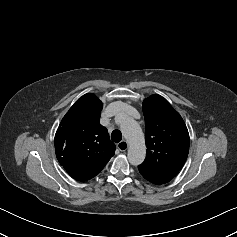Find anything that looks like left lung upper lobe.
<instances>
[{
  "mask_svg": "<svg viewBox=\"0 0 237 237\" xmlns=\"http://www.w3.org/2000/svg\"><path fill=\"white\" fill-rule=\"evenodd\" d=\"M147 154L140 171L171 180L189 152V134L178 112L160 95L143 101Z\"/></svg>",
  "mask_w": 237,
  "mask_h": 237,
  "instance_id": "1",
  "label": "left lung upper lobe"
}]
</instances>
